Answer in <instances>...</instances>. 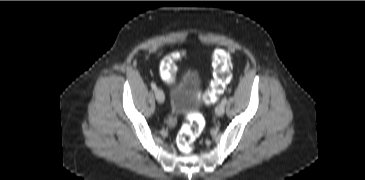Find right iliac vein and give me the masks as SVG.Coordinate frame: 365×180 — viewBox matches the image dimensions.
<instances>
[{
    "label": "right iliac vein",
    "instance_id": "63e3f726",
    "mask_svg": "<svg viewBox=\"0 0 365 180\" xmlns=\"http://www.w3.org/2000/svg\"><path fill=\"white\" fill-rule=\"evenodd\" d=\"M155 97L159 103H163L165 101V96L161 89L155 90Z\"/></svg>",
    "mask_w": 365,
    "mask_h": 180
}]
</instances>
